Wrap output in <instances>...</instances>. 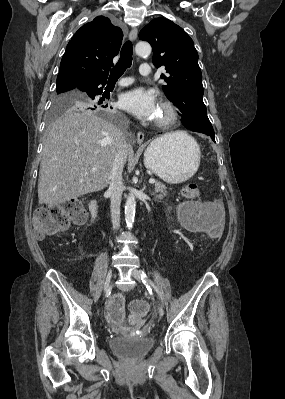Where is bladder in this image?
I'll return each mask as SVG.
<instances>
[{"mask_svg": "<svg viewBox=\"0 0 285 399\" xmlns=\"http://www.w3.org/2000/svg\"><path fill=\"white\" fill-rule=\"evenodd\" d=\"M190 203L180 204L179 211L184 212ZM153 337L142 335L136 337L115 336L110 340L111 351L128 360H135L147 355L154 347Z\"/></svg>", "mask_w": 285, "mask_h": 399, "instance_id": "1", "label": "bladder"}]
</instances>
